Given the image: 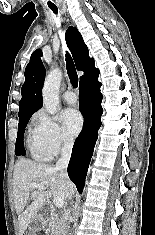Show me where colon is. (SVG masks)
<instances>
[{
  "mask_svg": "<svg viewBox=\"0 0 155 235\" xmlns=\"http://www.w3.org/2000/svg\"><path fill=\"white\" fill-rule=\"evenodd\" d=\"M26 235H38V234H36V233H27Z\"/></svg>",
  "mask_w": 155,
  "mask_h": 235,
  "instance_id": "5ec220e1",
  "label": "colon"
}]
</instances>
